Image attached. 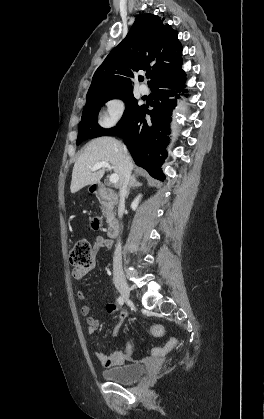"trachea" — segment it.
<instances>
[{
  "label": "trachea",
  "mask_w": 264,
  "mask_h": 419,
  "mask_svg": "<svg viewBox=\"0 0 264 419\" xmlns=\"http://www.w3.org/2000/svg\"><path fill=\"white\" fill-rule=\"evenodd\" d=\"M150 75H151L150 73H147V74H146V77H147V78H149V77H150Z\"/></svg>",
  "instance_id": "3493384b"
}]
</instances>
